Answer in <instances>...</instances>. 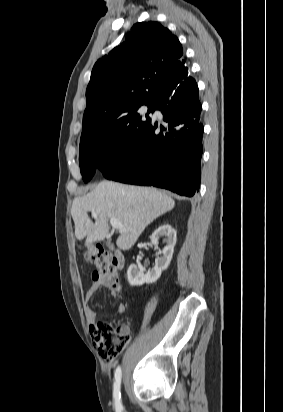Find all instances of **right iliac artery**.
Listing matches in <instances>:
<instances>
[{
	"label": "right iliac artery",
	"mask_w": 283,
	"mask_h": 412,
	"mask_svg": "<svg viewBox=\"0 0 283 412\" xmlns=\"http://www.w3.org/2000/svg\"><path fill=\"white\" fill-rule=\"evenodd\" d=\"M121 376H122L121 368L120 366H118L115 371V382H114V390H113L114 403H115V407L118 412H121L122 410L121 393H120Z\"/></svg>",
	"instance_id": "1"
}]
</instances>
